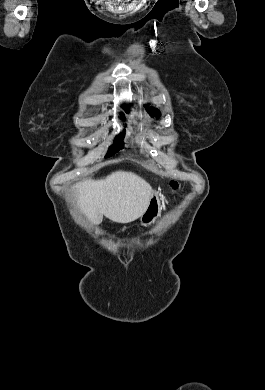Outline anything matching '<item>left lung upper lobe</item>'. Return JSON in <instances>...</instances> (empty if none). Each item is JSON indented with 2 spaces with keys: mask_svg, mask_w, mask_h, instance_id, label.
Returning <instances> with one entry per match:
<instances>
[{
  "mask_svg": "<svg viewBox=\"0 0 265 390\" xmlns=\"http://www.w3.org/2000/svg\"><path fill=\"white\" fill-rule=\"evenodd\" d=\"M147 106V105H145ZM151 114V116H156V117H159L160 116V111L159 110H156V109H153V108H147Z\"/></svg>",
  "mask_w": 265,
  "mask_h": 390,
  "instance_id": "1",
  "label": "left lung upper lobe"
}]
</instances>
